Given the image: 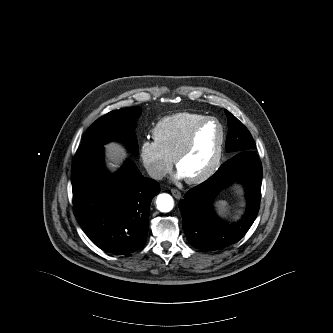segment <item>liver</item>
<instances>
[{"label":"liver","instance_id":"6515ba94","mask_svg":"<svg viewBox=\"0 0 333 333\" xmlns=\"http://www.w3.org/2000/svg\"><path fill=\"white\" fill-rule=\"evenodd\" d=\"M105 148L107 157L112 161V163L109 164L111 167H116L126 156L125 149L118 143L111 142L105 145Z\"/></svg>","mask_w":333,"mask_h":333}]
</instances>
